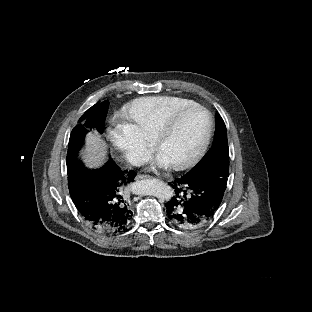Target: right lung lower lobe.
I'll return each instance as SVG.
<instances>
[{
    "mask_svg": "<svg viewBox=\"0 0 312 312\" xmlns=\"http://www.w3.org/2000/svg\"><path fill=\"white\" fill-rule=\"evenodd\" d=\"M78 164L68 175V185L83 220L100 233L124 232L133 216L125 189L136 172L122 171L111 158L106 166L96 170Z\"/></svg>",
    "mask_w": 312,
    "mask_h": 312,
    "instance_id": "98d812e1",
    "label": "right lung lower lobe"
}]
</instances>
